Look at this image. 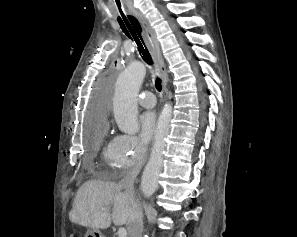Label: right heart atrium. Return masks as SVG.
Instances as JSON below:
<instances>
[{
	"label": "right heart atrium",
	"mask_w": 297,
	"mask_h": 237,
	"mask_svg": "<svg viewBox=\"0 0 297 237\" xmlns=\"http://www.w3.org/2000/svg\"><path fill=\"white\" fill-rule=\"evenodd\" d=\"M114 162L118 169L138 166L145 158L147 146L136 136L121 134L115 137Z\"/></svg>",
	"instance_id": "obj_1"
}]
</instances>
